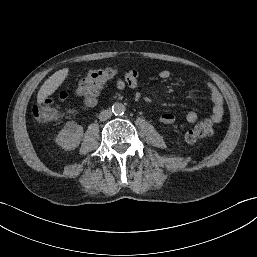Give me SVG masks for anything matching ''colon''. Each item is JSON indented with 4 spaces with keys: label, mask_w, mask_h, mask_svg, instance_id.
Masks as SVG:
<instances>
[{
    "label": "colon",
    "mask_w": 257,
    "mask_h": 257,
    "mask_svg": "<svg viewBox=\"0 0 257 257\" xmlns=\"http://www.w3.org/2000/svg\"><path fill=\"white\" fill-rule=\"evenodd\" d=\"M114 74L112 68H95L90 70L87 75L79 82L77 94L83 98L86 104H92L98 89H100ZM68 98L65 91L59 93L57 98H48L41 103L33 106L32 112L37 121L48 123L56 121L60 117L59 102ZM214 133L213 122L204 118L190 128L185 139L189 143L210 137Z\"/></svg>",
    "instance_id": "obj_1"
}]
</instances>
